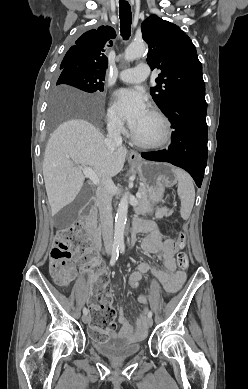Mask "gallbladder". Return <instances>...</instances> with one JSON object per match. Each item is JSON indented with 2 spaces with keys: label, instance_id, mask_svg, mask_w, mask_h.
Returning a JSON list of instances; mask_svg holds the SVG:
<instances>
[{
  "label": "gallbladder",
  "instance_id": "obj_1",
  "mask_svg": "<svg viewBox=\"0 0 248 389\" xmlns=\"http://www.w3.org/2000/svg\"><path fill=\"white\" fill-rule=\"evenodd\" d=\"M89 196V186L85 185L81 189L75 200L59 213V215L57 216V224H63L66 219H69V222H73L76 218L78 210L86 203Z\"/></svg>",
  "mask_w": 248,
  "mask_h": 389
}]
</instances>
